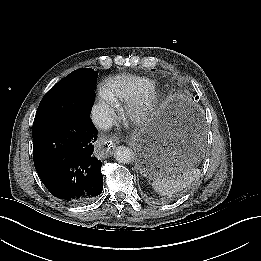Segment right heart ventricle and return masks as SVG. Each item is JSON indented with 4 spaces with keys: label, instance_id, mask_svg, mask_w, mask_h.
Returning <instances> with one entry per match:
<instances>
[{
    "label": "right heart ventricle",
    "instance_id": "1",
    "mask_svg": "<svg viewBox=\"0 0 261 261\" xmlns=\"http://www.w3.org/2000/svg\"><path fill=\"white\" fill-rule=\"evenodd\" d=\"M129 78L122 76L109 81L103 90H106L114 99L115 102L123 100L126 96L130 94L128 87Z\"/></svg>",
    "mask_w": 261,
    "mask_h": 261
}]
</instances>
